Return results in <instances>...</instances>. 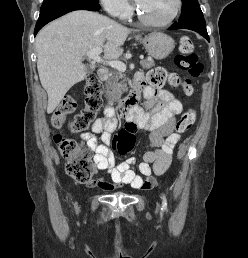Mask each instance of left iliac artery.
<instances>
[{
    "instance_id": "1",
    "label": "left iliac artery",
    "mask_w": 248,
    "mask_h": 258,
    "mask_svg": "<svg viewBox=\"0 0 248 258\" xmlns=\"http://www.w3.org/2000/svg\"><path fill=\"white\" fill-rule=\"evenodd\" d=\"M162 210H166L167 209V200H166V197L165 195L163 194L162 195Z\"/></svg>"
}]
</instances>
